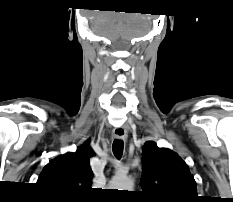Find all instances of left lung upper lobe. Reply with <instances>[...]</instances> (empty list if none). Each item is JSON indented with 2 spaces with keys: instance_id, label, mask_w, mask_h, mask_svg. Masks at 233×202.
<instances>
[{
  "instance_id": "obj_1",
  "label": "left lung upper lobe",
  "mask_w": 233,
  "mask_h": 202,
  "mask_svg": "<svg viewBox=\"0 0 233 202\" xmlns=\"http://www.w3.org/2000/svg\"><path fill=\"white\" fill-rule=\"evenodd\" d=\"M142 191L145 202H197L196 182L174 152L153 141L142 150Z\"/></svg>"
}]
</instances>
